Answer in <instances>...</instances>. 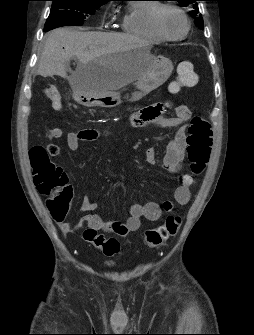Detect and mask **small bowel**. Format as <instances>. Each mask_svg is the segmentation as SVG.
<instances>
[{
	"mask_svg": "<svg viewBox=\"0 0 254 335\" xmlns=\"http://www.w3.org/2000/svg\"><path fill=\"white\" fill-rule=\"evenodd\" d=\"M193 86V85H192ZM171 105L170 102L157 103L135 112L131 121L134 126L150 124L158 128H176L177 132L173 140L167 147L163 158L162 165L164 169L170 173H178L182 167L186 149V123L191 117V111L188 106L183 104H174V116L164 114L165 109ZM63 135V131L59 127L50 129L48 137L50 139H59ZM100 137V132L95 129H83L70 132L67 136V146L71 151H76L81 142L94 141ZM47 150L51 156H56L59 148L56 144L50 143L47 145ZM54 150L56 153L53 154ZM145 159L148 164L156 163V151L153 147H149L145 151ZM179 186L174 193V200L179 205H186L191 197L190 185L192 178L187 174L179 175ZM66 190L70 191L67 187ZM72 195V192H71ZM171 201H164L162 204L148 202L146 204L134 203L130 206V215L126 222L117 220H104L99 214L90 213L85 215L75 226L65 220V214L52 213L54 221L59 226L64 234L74 233L84 225L95 231H104L118 236H126L136 232L140 228L142 218L148 221L155 222L159 220L163 212L172 209ZM83 211L93 212L98 208V204L93 202L88 196H85L81 206Z\"/></svg>",
	"mask_w": 254,
	"mask_h": 335,
	"instance_id": "1",
	"label": "small bowel"
}]
</instances>
